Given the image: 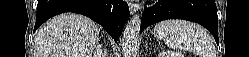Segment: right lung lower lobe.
<instances>
[{
    "mask_svg": "<svg viewBox=\"0 0 249 57\" xmlns=\"http://www.w3.org/2000/svg\"><path fill=\"white\" fill-rule=\"evenodd\" d=\"M64 12L83 14L99 23L117 42L129 18V7L120 0H39L34 31L50 17Z\"/></svg>",
    "mask_w": 249,
    "mask_h": 57,
    "instance_id": "obj_1",
    "label": "right lung lower lobe"
}]
</instances>
